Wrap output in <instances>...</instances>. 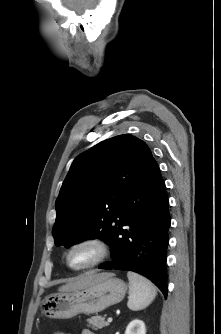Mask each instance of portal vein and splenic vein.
<instances>
[{
	"label": "portal vein and splenic vein",
	"mask_w": 221,
	"mask_h": 334,
	"mask_svg": "<svg viewBox=\"0 0 221 334\" xmlns=\"http://www.w3.org/2000/svg\"><path fill=\"white\" fill-rule=\"evenodd\" d=\"M107 322H108V323L112 322V318L109 317V318L107 319Z\"/></svg>",
	"instance_id": "18ae733b"
}]
</instances>
